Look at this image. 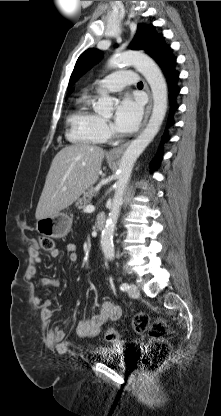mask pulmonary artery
Returning a JSON list of instances; mask_svg holds the SVG:
<instances>
[{
    "label": "pulmonary artery",
    "mask_w": 221,
    "mask_h": 416,
    "mask_svg": "<svg viewBox=\"0 0 221 416\" xmlns=\"http://www.w3.org/2000/svg\"><path fill=\"white\" fill-rule=\"evenodd\" d=\"M137 76L132 70L119 69L98 82L100 90L118 92L127 85L137 84Z\"/></svg>",
    "instance_id": "1"
}]
</instances>
